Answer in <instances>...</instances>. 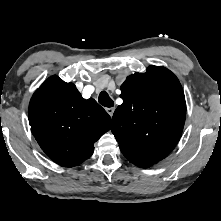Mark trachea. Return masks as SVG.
<instances>
[{"instance_id":"1","label":"trachea","mask_w":221,"mask_h":221,"mask_svg":"<svg viewBox=\"0 0 221 221\" xmlns=\"http://www.w3.org/2000/svg\"><path fill=\"white\" fill-rule=\"evenodd\" d=\"M98 101L104 107H113L114 101L110 98L107 92L102 91L99 95Z\"/></svg>"}]
</instances>
